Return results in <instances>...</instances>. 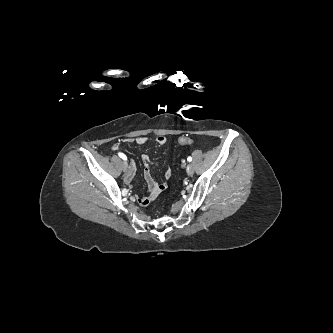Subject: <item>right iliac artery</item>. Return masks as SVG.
I'll return each instance as SVG.
<instances>
[{
  "label": "right iliac artery",
  "instance_id": "obj_1",
  "mask_svg": "<svg viewBox=\"0 0 333 333\" xmlns=\"http://www.w3.org/2000/svg\"><path fill=\"white\" fill-rule=\"evenodd\" d=\"M119 157H121L123 160H126L127 157L126 155H124L123 153H118Z\"/></svg>",
  "mask_w": 333,
  "mask_h": 333
}]
</instances>
